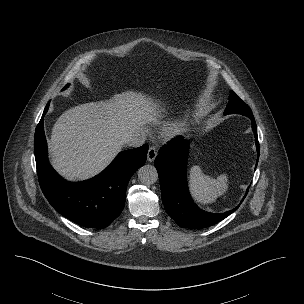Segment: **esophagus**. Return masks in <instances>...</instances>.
Masks as SVG:
<instances>
[{
    "label": "esophagus",
    "mask_w": 304,
    "mask_h": 304,
    "mask_svg": "<svg viewBox=\"0 0 304 304\" xmlns=\"http://www.w3.org/2000/svg\"><path fill=\"white\" fill-rule=\"evenodd\" d=\"M157 156V151L154 147H150L147 153L148 162H153Z\"/></svg>",
    "instance_id": "esophagus-1"
}]
</instances>
